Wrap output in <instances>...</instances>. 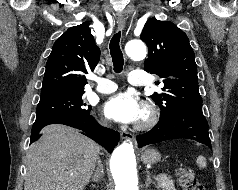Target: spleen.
<instances>
[{"mask_svg":"<svg viewBox=\"0 0 238 190\" xmlns=\"http://www.w3.org/2000/svg\"><path fill=\"white\" fill-rule=\"evenodd\" d=\"M197 164L199 165L200 168H205L206 167V159H205V157L198 156Z\"/></svg>","mask_w":238,"mask_h":190,"instance_id":"3e777b00","label":"spleen"}]
</instances>
